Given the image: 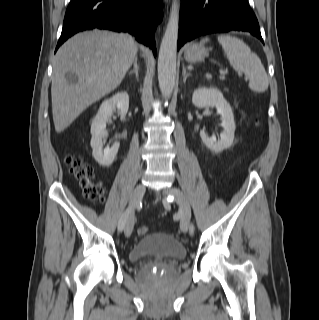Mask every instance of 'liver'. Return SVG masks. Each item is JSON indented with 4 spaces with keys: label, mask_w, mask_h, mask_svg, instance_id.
<instances>
[{
    "label": "liver",
    "mask_w": 319,
    "mask_h": 320,
    "mask_svg": "<svg viewBox=\"0 0 319 320\" xmlns=\"http://www.w3.org/2000/svg\"><path fill=\"white\" fill-rule=\"evenodd\" d=\"M137 53L127 33L94 29L78 33L57 51L51 86L55 131L61 133L91 104L122 82ZM66 73L77 76L70 84Z\"/></svg>",
    "instance_id": "liver-1"
}]
</instances>
